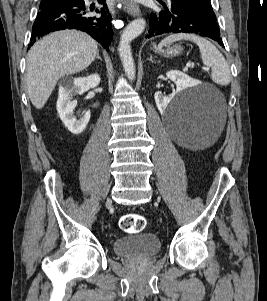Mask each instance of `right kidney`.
<instances>
[{"label":"right kidney","mask_w":267,"mask_h":301,"mask_svg":"<svg viewBox=\"0 0 267 301\" xmlns=\"http://www.w3.org/2000/svg\"><path fill=\"white\" fill-rule=\"evenodd\" d=\"M99 83L100 76L98 74H92L87 77L75 78L65 86L60 87L57 100V112L64 125L71 133H82L91 116L90 110H88L84 113L82 118L76 119L73 111L77 105V101L72 100L73 95H81L90 88L97 87Z\"/></svg>","instance_id":"right-kidney-1"}]
</instances>
